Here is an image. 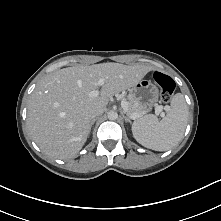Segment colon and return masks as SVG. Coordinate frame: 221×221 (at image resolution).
Here are the masks:
<instances>
[{
    "label": "colon",
    "mask_w": 221,
    "mask_h": 221,
    "mask_svg": "<svg viewBox=\"0 0 221 221\" xmlns=\"http://www.w3.org/2000/svg\"><path fill=\"white\" fill-rule=\"evenodd\" d=\"M153 79L161 89V100L164 103H168L175 90L173 79L162 72H155L153 74Z\"/></svg>",
    "instance_id": "colon-1"
}]
</instances>
